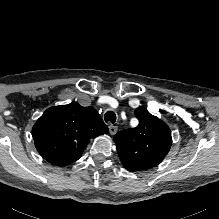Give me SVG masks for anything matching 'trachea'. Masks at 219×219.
<instances>
[{
  "mask_svg": "<svg viewBox=\"0 0 219 219\" xmlns=\"http://www.w3.org/2000/svg\"><path fill=\"white\" fill-rule=\"evenodd\" d=\"M105 122H111L112 124L116 121V114L113 111H107L104 116Z\"/></svg>",
  "mask_w": 219,
  "mask_h": 219,
  "instance_id": "trachea-1",
  "label": "trachea"
}]
</instances>
